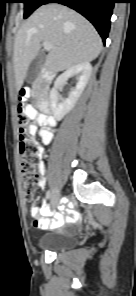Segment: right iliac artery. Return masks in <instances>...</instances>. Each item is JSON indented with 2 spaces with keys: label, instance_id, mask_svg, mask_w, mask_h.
Returning <instances> with one entry per match:
<instances>
[{
  "label": "right iliac artery",
  "instance_id": "1",
  "mask_svg": "<svg viewBox=\"0 0 136 296\" xmlns=\"http://www.w3.org/2000/svg\"><path fill=\"white\" fill-rule=\"evenodd\" d=\"M50 197H51V193H50V191L48 190L47 193H46V198L49 199Z\"/></svg>",
  "mask_w": 136,
  "mask_h": 296
}]
</instances>
